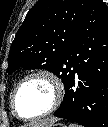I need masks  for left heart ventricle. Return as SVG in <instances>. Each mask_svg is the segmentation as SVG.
<instances>
[{"label": "left heart ventricle", "mask_w": 108, "mask_h": 127, "mask_svg": "<svg viewBox=\"0 0 108 127\" xmlns=\"http://www.w3.org/2000/svg\"><path fill=\"white\" fill-rule=\"evenodd\" d=\"M52 100L51 85L43 78H34L21 87L16 96L15 104L20 115L32 117L47 110Z\"/></svg>", "instance_id": "1"}]
</instances>
